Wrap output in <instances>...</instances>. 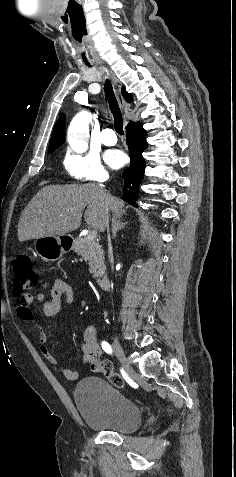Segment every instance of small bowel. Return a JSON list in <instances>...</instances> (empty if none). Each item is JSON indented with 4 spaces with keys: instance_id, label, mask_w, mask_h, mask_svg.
<instances>
[{
    "instance_id": "c3829d8e",
    "label": "small bowel",
    "mask_w": 236,
    "mask_h": 477,
    "mask_svg": "<svg viewBox=\"0 0 236 477\" xmlns=\"http://www.w3.org/2000/svg\"><path fill=\"white\" fill-rule=\"evenodd\" d=\"M49 289L50 300H45V291ZM75 298V291L71 283L62 278H54L43 282L41 290L36 294L35 301L41 304L42 316L46 319L55 317L61 310L62 305L71 304ZM31 306V305H30ZM19 305L17 308L18 316L25 322L31 324L34 328L39 330L36 324L31 307ZM97 327L93 324L87 325L84 329V339L81 344V362H89L92 372H101L99 362L102 356V349L97 339ZM39 339L41 341L40 350L43 357L48 363L57 367V370L67 380H77L80 376L79 372L58 365L57 358L48 347V338L39 331Z\"/></svg>"
}]
</instances>
